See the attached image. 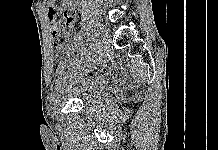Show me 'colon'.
I'll return each mask as SVG.
<instances>
[{"mask_svg":"<svg viewBox=\"0 0 218 150\" xmlns=\"http://www.w3.org/2000/svg\"><path fill=\"white\" fill-rule=\"evenodd\" d=\"M71 30H60L53 35L56 45H63L69 38Z\"/></svg>","mask_w":218,"mask_h":150,"instance_id":"1","label":"colon"}]
</instances>
